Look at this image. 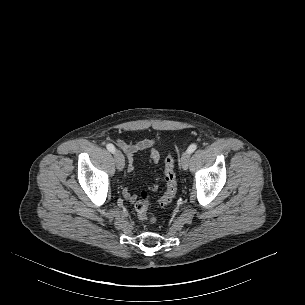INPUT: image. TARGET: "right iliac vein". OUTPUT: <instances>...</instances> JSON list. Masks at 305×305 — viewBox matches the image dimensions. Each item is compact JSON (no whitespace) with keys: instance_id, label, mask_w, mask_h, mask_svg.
<instances>
[{"instance_id":"63e3f726","label":"right iliac vein","mask_w":305,"mask_h":305,"mask_svg":"<svg viewBox=\"0 0 305 305\" xmlns=\"http://www.w3.org/2000/svg\"><path fill=\"white\" fill-rule=\"evenodd\" d=\"M114 158H115L117 169L121 171L125 165V160H124L123 154L117 150L114 152Z\"/></svg>"}]
</instances>
